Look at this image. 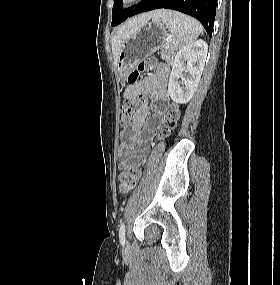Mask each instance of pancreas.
I'll use <instances>...</instances> for the list:
<instances>
[{
	"mask_svg": "<svg viewBox=\"0 0 280 285\" xmlns=\"http://www.w3.org/2000/svg\"><path fill=\"white\" fill-rule=\"evenodd\" d=\"M168 47L164 51L161 52V57L164 59L167 63L171 64L174 58V51L168 50Z\"/></svg>",
	"mask_w": 280,
	"mask_h": 285,
	"instance_id": "pancreas-1",
	"label": "pancreas"
}]
</instances>
